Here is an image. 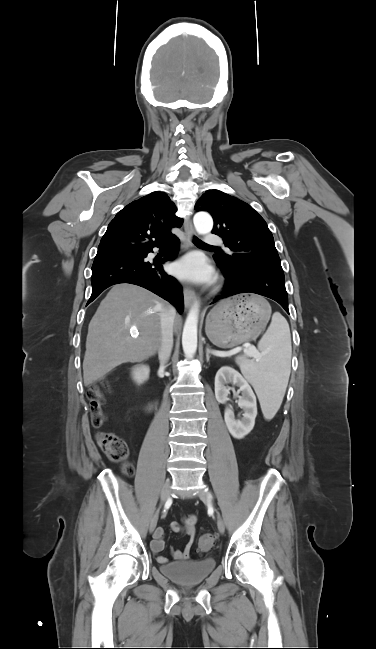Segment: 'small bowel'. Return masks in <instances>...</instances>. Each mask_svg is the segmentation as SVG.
Masks as SVG:
<instances>
[{
	"mask_svg": "<svg viewBox=\"0 0 376 649\" xmlns=\"http://www.w3.org/2000/svg\"><path fill=\"white\" fill-rule=\"evenodd\" d=\"M196 517L195 515H188L182 519V522H172L171 529L178 534L187 536L188 540L183 550L172 549L171 555L175 560H183L189 558L190 551L194 544L196 533ZM164 529L157 527L153 534L151 541V549L154 553L159 554L164 548ZM157 561L159 563H166L168 559L164 556L158 555Z\"/></svg>",
	"mask_w": 376,
	"mask_h": 649,
	"instance_id": "c3829d8e",
	"label": "small bowel"
}]
</instances>
